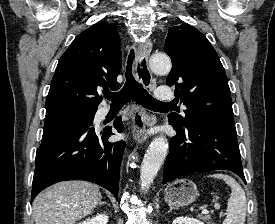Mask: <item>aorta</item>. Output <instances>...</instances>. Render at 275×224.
Segmentation results:
<instances>
[{
	"label": "aorta",
	"instance_id": "1",
	"mask_svg": "<svg viewBox=\"0 0 275 224\" xmlns=\"http://www.w3.org/2000/svg\"><path fill=\"white\" fill-rule=\"evenodd\" d=\"M151 70L166 75L171 71L170 58L165 54H154L149 59ZM168 141L164 135L157 136L149 145L140 170V184L144 191L150 187L168 153Z\"/></svg>",
	"mask_w": 275,
	"mask_h": 224
}]
</instances>
